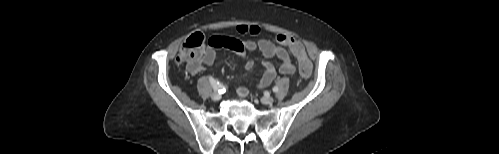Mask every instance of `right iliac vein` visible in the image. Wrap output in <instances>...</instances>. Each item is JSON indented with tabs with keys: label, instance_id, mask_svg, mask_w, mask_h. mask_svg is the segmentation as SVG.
<instances>
[{
	"label": "right iliac vein",
	"instance_id": "1",
	"mask_svg": "<svg viewBox=\"0 0 499 154\" xmlns=\"http://www.w3.org/2000/svg\"><path fill=\"white\" fill-rule=\"evenodd\" d=\"M211 98L213 101H219L221 99V95L217 92L211 94Z\"/></svg>",
	"mask_w": 499,
	"mask_h": 154
}]
</instances>
